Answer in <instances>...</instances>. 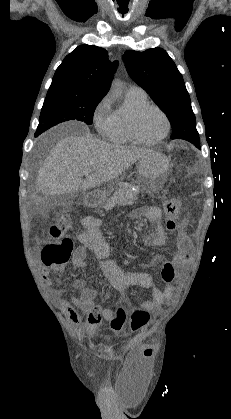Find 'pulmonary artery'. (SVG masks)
I'll return each instance as SVG.
<instances>
[{
    "label": "pulmonary artery",
    "instance_id": "obj_1",
    "mask_svg": "<svg viewBox=\"0 0 231 419\" xmlns=\"http://www.w3.org/2000/svg\"><path fill=\"white\" fill-rule=\"evenodd\" d=\"M129 90H130V91L140 92V93H145V91H144L141 87H139V86H137V85H132V86H130V87H129Z\"/></svg>",
    "mask_w": 231,
    "mask_h": 419
}]
</instances>
